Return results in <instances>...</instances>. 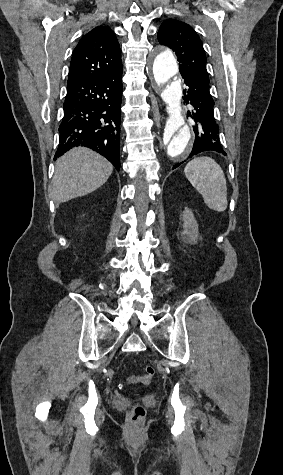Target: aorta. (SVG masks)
Segmentation results:
<instances>
[{
	"label": "aorta",
	"instance_id": "aorta-1",
	"mask_svg": "<svg viewBox=\"0 0 283 475\" xmlns=\"http://www.w3.org/2000/svg\"><path fill=\"white\" fill-rule=\"evenodd\" d=\"M152 73L161 89L169 115L160 139L159 152L163 159L182 160L189 155L193 138L191 127L181 108L182 88L176 79L178 65L171 50L162 51L154 58Z\"/></svg>",
	"mask_w": 283,
	"mask_h": 475
}]
</instances>
